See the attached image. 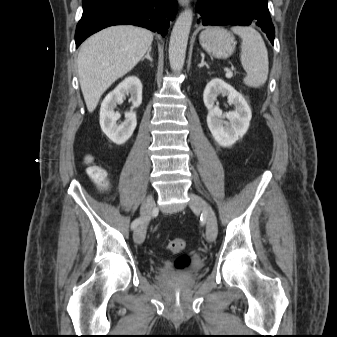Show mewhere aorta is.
<instances>
[{
	"label": "aorta",
	"instance_id": "obj_1",
	"mask_svg": "<svg viewBox=\"0 0 337 337\" xmlns=\"http://www.w3.org/2000/svg\"><path fill=\"white\" fill-rule=\"evenodd\" d=\"M193 21L191 9H185L177 18L169 42V62L175 72L182 70L185 62L186 48Z\"/></svg>",
	"mask_w": 337,
	"mask_h": 337
}]
</instances>
